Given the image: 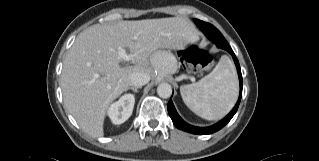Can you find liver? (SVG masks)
<instances>
[{
	"instance_id": "liver-1",
	"label": "liver",
	"mask_w": 319,
	"mask_h": 161,
	"mask_svg": "<svg viewBox=\"0 0 319 161\" xmlns=\"http://www.w3.org/2000/svg\"><path fill=\"white\" fill-rule=\"evenodd\" d=\"M198 39L193 23L183 17L90 26L77 36L63 62L61 88L66 109L87 134L103 136L107 109L128 90L130 75H151L150 62L157 70L152 61L156 50L183 49ZM119 48L129 50L133 65H120Z\"/></svg>"
}]
</instances>
